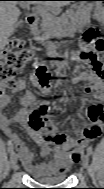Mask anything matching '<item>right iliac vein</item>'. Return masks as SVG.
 Segmentation results:
<instances>
[{
    "mask_svg": "<svg viewBox=\"0 0 104 189\" xmlns=\"http://www.w3.org/2000/svg\"><path fill=\"white\" fill-rule=\"evenodd\" d=\"M17 161H18V155L17 153L13 152L10 156V165L12 169H15L17 166Z\"/></svg>",
    "mask_w": 104,
    "mask_h": 189,
    "instance_id": "right-iliac-vein-1",
    "label": "right iliac vein"
}]
</instances>
